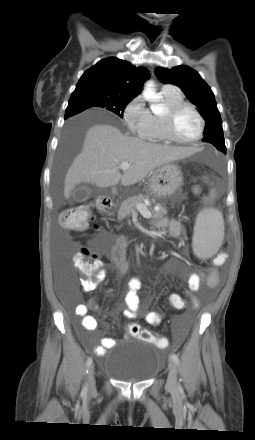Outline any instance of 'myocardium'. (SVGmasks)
Wrapping results in <instances>:
<instances>
[{
    "instance_id": "myocardium-1",
    "label": "myocardium",
    "mask_w": 255,
    "mask_h": 440,
    "mask_svg": "<svg viewBox=\"0 0 255 440\" xmlns=\"http://www.w3.org/2000/svg\"><path fill=\"white\" fill-rule=\"evenodd\" d=\"M185 109L191 110L199 120V131L194 138L189 140L179 139L174 132L175 118ZM161 122L166 140L180 145H190L199 141L202 138L205 129V120L201 113L193 105L185 102L168 107L164 114L161 115Z\"/></svg>"
}]
</instances>
